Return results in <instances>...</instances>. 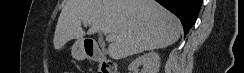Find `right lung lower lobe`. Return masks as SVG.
Segmentation results:
<instances>
[{
    "label": "right lung lower lobe",
    "mask_w": 244,
    "mask_h": 73,
    "mask_svg": "<svg viewBox=\"0 0 244 73\" xmlns=\"http://www.w3.org/2000/svg\"><path fill=\"white\" fill-rule=\"evenodd\" d=\"M174 13L181 21L186 35L195 23L202 0H155Z\"/></svg>",
    "instance_id": "98d812e1"
}]
</instances>
